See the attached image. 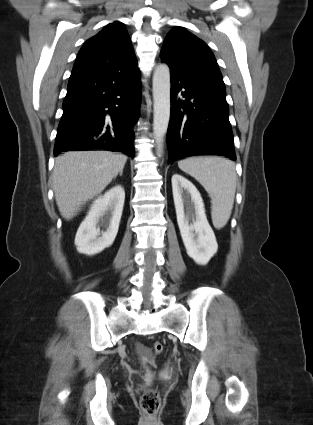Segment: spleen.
Wrapping results in <instances>:
<instances>
[{
  "label": "spleen",
  "instance_id": "spleen-1",
  "mask_svg": "<svg viewBox=\"0 0 313 425\" xmlns=\"http://www.w3.org/2000/svg\"><path fill=\"white\" fill-rule=\"evenodd\" d=\"M178 167L194 177L208 192L213 225L217 229L223 228L234 204L237 183L235 164L222 157L207 156L180 160Z\"/></svg>",
  "mask_w": 313,
  "mask_h": 425
}]
</instances>
